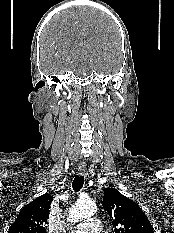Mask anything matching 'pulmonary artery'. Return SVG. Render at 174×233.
Here are the masks:
<instances>
[{
  "instance_id": "pulmonary-artery-1",
  "label": "pulmonary artery",
  "mask_w": 174,
  "mask_h": 233,
  "mask_svg": "<svg viewBox=\"0 0 174 233\" xmlns=\"http://www.w3.org/2000/svg\"><path fill=\"white\" fill-rule=\"evenodd\" d=\"M101 227L98 219L90 218L73 227L71 233H100Z\"/></svg>"
}]
</instances>
